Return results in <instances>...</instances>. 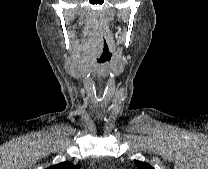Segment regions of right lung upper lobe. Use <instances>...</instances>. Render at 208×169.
<instances>
[{"instance_id": "obj_1", "label": "right lung upper lobe", "mask_w": 208, "mask_h": 169, "mask_svg": "<svg viewBox=\"0 0 208 169\" xmlns=\"http://www.w3.org/2000/svg\"><path fill=\"white\" fill-rule=\"evenodd\" d=\"M79 167V165H74L68 161H65L54 166H50L47 169H79Z\"/></svg>"}]
</instances>
